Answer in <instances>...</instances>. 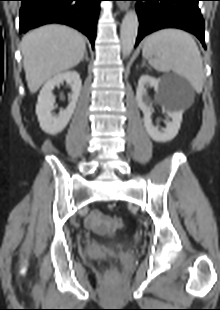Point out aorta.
Segmentation results:
<instances>
[{
	"label": "aorta",
	"mask_w": 220,
	"mask_h": 310,
	"mask_svg": "<svg viewBox=\"0 0 220 310\" xmlns=\"http://www.w3.org/2000/svg\"><path fill=\"white\" fill-rule=\"evenodd\" d=\"M138 26L139 21L136 12H127L123 18L120 30L122 53L124 56H129L134 48Z\"/></svg>",
	"instance_id": "obj_1"
}]
</instances>
